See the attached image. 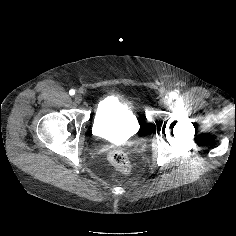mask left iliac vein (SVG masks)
Returning <instances> with one entry per match:
<instances>
[{"instance_id":"left-iliac-vein-1","label":"left iliac vein","mask_w":236,"mask_h":236,"mask_svg":"<svg viewBox=\"0 0 236 236\" xmlns=\"http://www.w3.org/2000/svg\"><path fill=\"white\" fill-rule=\"evenodd\" d=\"M170 102H171V99H170V98H168V97L162 98V99L160 100V105H162V106H167V105H169Z\"/></svg>"}]
</instances>
